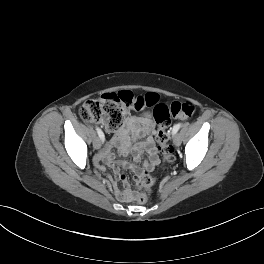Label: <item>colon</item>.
Returning <instances> with one entry per match:
<instances>
[{
	"label": "colon",
	"instance_id": "obj_1",
	"mask_svg": "<svg viewBox=\"0 0 264 264\" xmlns=\"http://www.w3.org/2000/svg\"><path fill=\"white\" fill-rule=\"evenodd\" d=\"M152 107L157 122L156 140L164 162L174 160V150L169 143V127L173 118L188 119L195 113V105L190 101L173 102L170 105L160 103L155 93L138 95L132 91L106 93L100 98L88 100L79 109V115L85 122H100L108 130L115 131L121 127L130 110L140 111ZM155 180L145 171L136 180L139 188L133 198L145 204L148 193Z\"/></svg>",
	"mask_w": 264,
	"mask_h": 264
}]
</instances>
